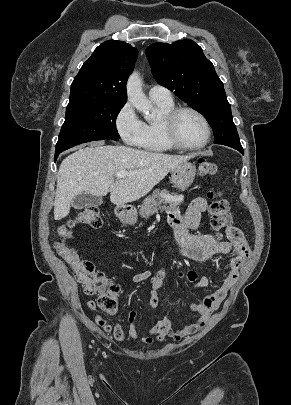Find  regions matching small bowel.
Instances as JSON below:
<instances>
[{"mask_svg":"<svg viewBox=\"0 0 291 405\" xmlns=\"http://www.w3.org/2000/svg\"><path fill=\"white\" fill-rule=\"evenodd\" d=\"M208 201L203 197H198L192 201L185 215H180L176 211H171L168 216L170 225L175 230V235L179 243L183 246L181 255L184 258L193 261H206L215 254L230 255L231 260L228 265V271L218 289L208 295L201 303H191L189 309L198 314V318L181 328L174 329L172 320L157 311L159 305L158 290L163 284L165 270L162 269L157 273L144 271L133 276L132 283L137 284L150 280V300L151 310L156 315V321L152 327L143 331L140 337L137 331L138 313L131 310L127 314L128 334L131 338L140 339L145 343H152L155 339L163 340L171 337L175 340H181L202 329L210 319V316L216 311L225 299L230 289L236 283L239 276V269L250 256V249L243 233L233 225L225 228L227 241H219L212 234L194 235L189 232L196 229L201 221L202 215L208 210ZM209 285V278L204 276L196 284V288H205ZM89 310L95 309L94 302L87 303ZM97 324L105 333L112 334L118 341L125 339V333L119 323L114 325L108 324L100 316H96Z\"/></svg>","mask_w":291,"mask_h":405,"instance_id":"c3829d8e","label":"small bowel"}]
</instances>
